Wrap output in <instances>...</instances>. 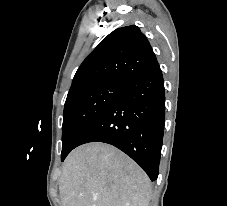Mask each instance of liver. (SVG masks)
Instances as JSON below:
<instances>
[{"label": "liver", "instance_id": "liver-1", "mask_svg": "<svg viewBox=\"0 0 227 206\" xmlns=\"http://www.w3.org/2000/svg\"><path fill=\"white\" fill-rule=\"evenodd\" d=\"M151 182L117 148L92 142L66 158L60 178L62 206H148Z\"/></svg>", "mask_w": 227, "mask_h": 206}]
</instances>
